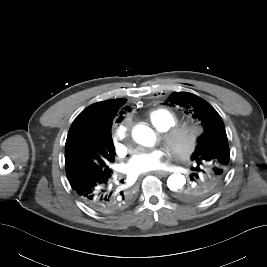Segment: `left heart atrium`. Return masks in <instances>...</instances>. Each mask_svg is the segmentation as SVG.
Segmentation results:
<instances>
[{"label": "left heart atrium", "instance_id": "39dd6f15", "mask_svg": "<svg viewBox=\"0 0 267 267\" xmlns=\"http://www.w3.org/2000/svg\"><path fill=\"white\" fill-rule=\"evenodd\" d=\"M164 155L162 149L137 152L126 163L125 172L129 176L138 177L161 169L164 166Z\"/></svg>", "mask_w": 267, "mask_h": 267}]
</instances>
